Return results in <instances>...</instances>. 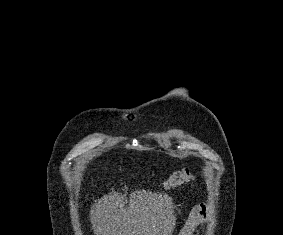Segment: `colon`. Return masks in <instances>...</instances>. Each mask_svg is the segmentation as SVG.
<instances>
[{"label": "colon", "mask_w": 283, "mask_h": 235, "mask_svg": "<svg viewBox=\"0 0 283 235\" xmlns=\"http://www.w3.org/2000/svg\"><path fill=\"white\" fill-rule=\"evenodd\" d=\"M193 179L191 170L188 168H183L181 170L173 172L165 181L164 185L166 188H174L180 186L186 182ZM190 230L185 226L181 231V235H189Z\"/></svg>", "instance_id": "colon-1"}]
</instances>
